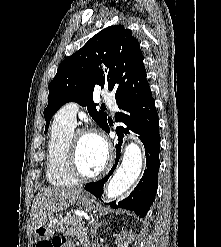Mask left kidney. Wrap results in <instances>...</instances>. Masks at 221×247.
Here are the masks:
<instances>
[{
	"label": "left kidney",
	"mask_w": 221,
	"mask_h": 247,
	"mask_svg": "<svg viewBox=\"0 0 221 247\" xmlns=\"http://www.w3.org/2000/svg\"><path fill=\"white\" fill-rule=\"evenodd\" d=\"M134 238V234H125L123 238H120V240L116 241V243L118 244V247H128Z\"/></svg>",
	"instance_id": "1"
}]
</instances>
